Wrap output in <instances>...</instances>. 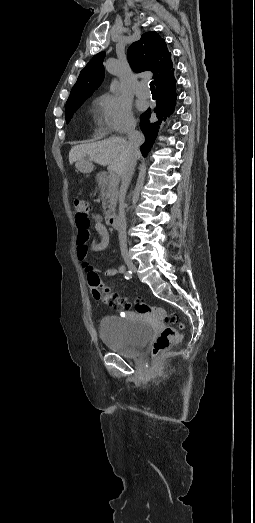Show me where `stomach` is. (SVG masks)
<instances>
[{
	"label": "stomach",
	"instance_id": "0dacf381",
	"mask_svg": "<svg viewBox=\"0 0 255 523\" xmlns=\"http://www.w3.org/2000/svg\"><path fill=\"white\" fill-rule=\"evenodd\" d=\"M81 173H82L83 175H88V174L90 173V166H83V167L81 168Z\"/></svg>",
	"mask_w": 255,
	"mask_h": 523
}]
</instances>
